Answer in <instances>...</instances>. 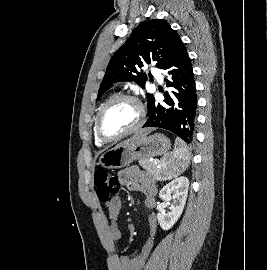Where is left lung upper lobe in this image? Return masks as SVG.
<instances>
[{
    "mask_svg": "<svg viewBox=\"0 0 267 270\" xmlns=\"http://www.w3.org/2000/svg\"><path fill=\"white\" fill-rule=\"evenodd\" d=\"M179 41V35L165 20L141 23L109 62L97 100L118 81H135L144 88L147 76L141 68L155 62L156 67L162 69ZM146 97L149 108L154 97L151 94H146Z\"/></svg>",
    "mask_w": 267,
    "mask_h": 270,
    "instance_id": "left-lung-upper-lobe-1",
    "label": "left lung upper lobe"
}]
</instances>
